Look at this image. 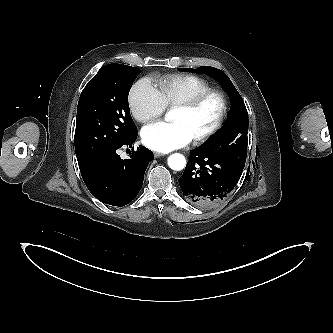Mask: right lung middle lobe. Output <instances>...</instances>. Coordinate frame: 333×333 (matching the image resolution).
Returning <instances> with one entry per match:
<instances>
[{
    "label": "right lung middle lobe",
    "mask_w": 333,
    "mask_h": 333,
    "mask_svg": "<svg viewBox=\"0 0 333 333\" xmlns=\"http://www.w3.org/2000/svg\"><path fill=\"white\" fill-rule=\"evenodd\" d=\"M140 72L139 68L108 64L88 82L77 108L74 141L78 164L124 144L136 134L128 94Z\"/></svg>",
    "instance_id": "dd1d6c3e"
}]
</instances>
